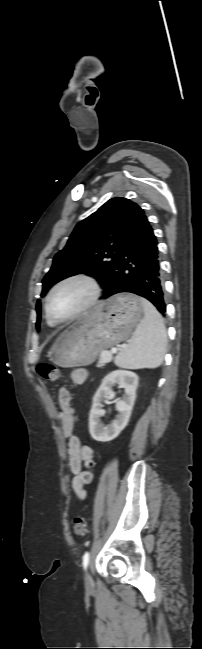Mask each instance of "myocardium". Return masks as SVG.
Segmentation results:
<instances>
[{"label": "myocardium", "mask_w": 202, "mask_h": 649, "mask_svg": "<svg viewBox=\"0 0 202 649\" xmlns=\"http://www.w3.org/2000/svg\"><path fill=\"white\" fill-rule=\"evenodd\" d=\"M72 281H82L86 283L91 290L90 297L87 300V302L82 305L75 313L72 315L66 317V318H58L52 314L49 308V302L51 297L54 295V293L63 285L66 283L72 282ZM101 295V285L99 281L91 274L85 273V272H76L69 274L60 280H58L49 290L45 297V302H44V309H45V314L47 318L55 324L59 323H65V322H70L73 321L83 314H85L88 310H90L98 301L99 297Z\"/></svg>", "instance_id": "f54148a6"}]
</instances>
